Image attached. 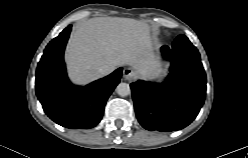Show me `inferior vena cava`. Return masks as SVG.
Returning a JSON list of instances; mask_svg holds the SVG:
<instances>
[{
  "label": "inferior vena cava",
  "instance_id": "602c4592",
  "mask_svg": "<svg viewBox=\"0 0 248 158\" xmlns=\"http://www.w3.org/2000/svg\"><path fill=\"white\" fill-rule=\"evenodd\" d=\"M112 71H113V69H112L110 66H108V65L101 66V67L98 69V72H99L100 75H102V76L108 75V74H110Z\"/></svg>",
  "mask_w": 248,
  "mask_h": 158
}]
</instances>
